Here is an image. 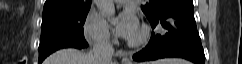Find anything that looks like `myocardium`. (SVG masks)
<instances>
[{"instance_id": "obj_1", "label": "myocardium", "mask_w": 242, "mask_h": 64, "mask_svg": "<svg viewBox=\"0 0 242 64\" xmlns=\"http://www.w3.org/2000/svg\"><path fill=\"white\" fill-rule=\"evenodd\" d=\"M149 38V28L147 26H142L138 32V36L135 39L128 40V45L130 47H139L143 45Z\"/></svg>"}]
</instances>
